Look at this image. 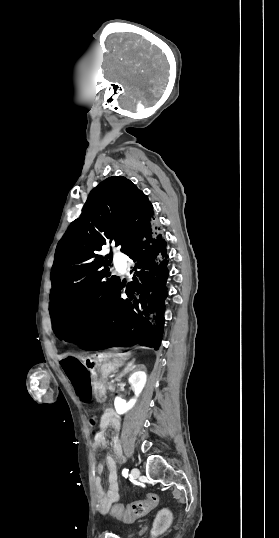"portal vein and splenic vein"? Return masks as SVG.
Masks as SVG:
<instances>
[{"label":"portal vein and splenic vein","instance_id":"portal-vein-and-splenic-vein-1","mask_svg":"<svg viewBox=\"0 0 279 538\" xmlns=\"http://www.w3.org/2000/svg\"><path fill=\"white\" fill-rule=\"evenodd\" d=\"M111 383H115V380H111Z\"/></svg>","mask_w":279,"mask_h":538}]
</instances>
